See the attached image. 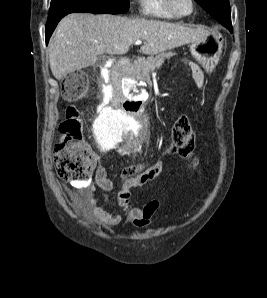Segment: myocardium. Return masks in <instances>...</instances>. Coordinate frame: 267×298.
I'll return each instance as SVG.
<instances>
[{
    "instance_id": "f54148a6",
    "label": "myocardium",
    "mask_w": 267,
    "mask_h": 298,
    "mask_svg": "<svg viewBox=\"0 0 267 298\" xmlns=\"http://www.w3.org/2000/svg\"><path fill=\"white\" fill-rule=\"evenodd\" d=\"M190 2H191V10H190V12H188L186 14H182V13H179L175 9V7H174V5L172 3V0H163V3H164L165 8L170 13H172L174 16L179 17V18L188 17V16H190L195 11V1L194 0H190Z\"/></svg>"
}]
</instances>
